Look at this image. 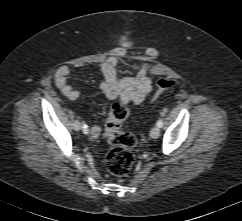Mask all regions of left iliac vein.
<instances>
[{"instance_id": "1", "label": "left iliac vein", "mask_w": 242, "mask_h": 221, "mask_svg": "<svg viewBox=\"0 0 242 221\" xmlns=\"http://www.w3.org/2000/svg\"><path fill=\"white\" fill-rule=\"evenodd\" d=\"M160 135V128L158 126H154L151 130H150V136L152 138H158Z\"/></svg>"}]
</instances>
